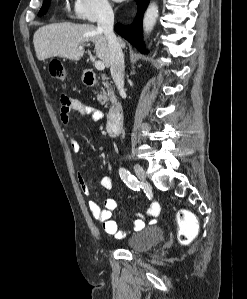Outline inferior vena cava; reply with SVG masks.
<instances>
[{
    "label": "inferior vena cava",
    "mask_w": 247,
    "mask_h": 299,
    "mask_svg": "<svg viewBox=\"0 0 247 299\" xmlns=\"http://www.w3.org/2000/svg\"><path fill=\"white\" fill-rule=\"evenodd\" d=\"M114 13L109 4L101 6L98 14L97 28L108 41L111 76L120 92L124 91V55L121 44L113 31Z\"/></svg>",
    "instance_id": "1"
}]
</instances>
